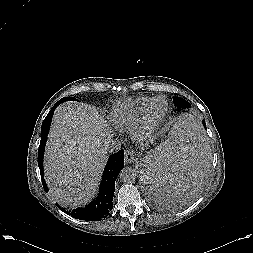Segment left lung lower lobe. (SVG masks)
<instances>
[{
	"instance_id": "obj_1",
	"label": "left lung lower lobe",
	"mask_w": 253,
	"mask_h": 253,
	"mask_svg": "<svg viewBox=\"0 0 253 253\" xmlns=\"http://www.w3.org/2000/svg\"><path fill=\"white\" fill-rule=\"evenodd\" d=\"M202 123L206 128L205 122ZM176 149L174 156L156 154L144 172L143 182L152 201L164 207L191 198L206 167L204 154L196 148Z\"/></svg>"
}]
</instances>
